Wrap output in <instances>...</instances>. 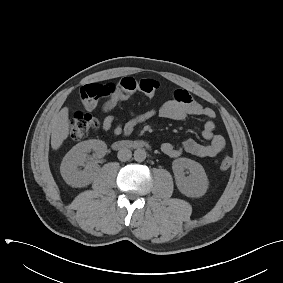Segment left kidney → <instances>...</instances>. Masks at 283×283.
I'll return each mask as SVG.
<instances>
[{
    "label": "left kidney",
    "instance_id": "5707ae66",
    "mask_svg": "<svg viewBox=\"0 0 283 283\" xmlns=\"http://www.w3.org/2000/svg\"><path fill=\"white\" fill-rule=\"evenodd\" d=\"M172 169L179 191L187 197H201L208 189V178L198 162L188 158H178L172 162ZM185 170L189 176H185Z\"/></svg>",
    "mask_w": 283,
    "mask_h": 283
}]
</instances>
